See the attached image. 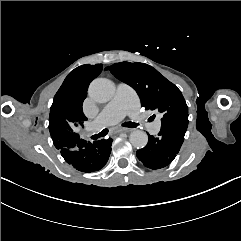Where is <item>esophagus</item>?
Masks as SVG:
<instances>
[{
  "label": "esophagus",
  "mask_w": 241,
  "mask_h": 241,
  "mask_svg": "<svg viewBox=\"0 0 241 241\" xmlns=\"http://www.w3.org/2000/svg\"><path fill=\"white\" fill-rule=\"evenodd\" d=\"M129 131H130V129H128V128H120V129L116 130L115 133H123V132H129Z\"/></svg>",
  "instance_id": "esophagus-1"
}]
</instances>
